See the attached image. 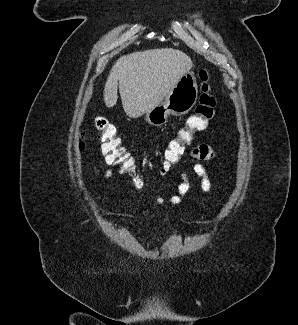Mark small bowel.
I'll list each match as a JSON object with an SVG mask.
<instances>
[{"mask_svg": "<svg viewBox=\"0 0 298 325\" xmlns=\"http://www.w3.org/2000/svg\"><path fill=\"white\" fill-rule=\"evenodd\" d=\"M213 155L214 154H213L212 149L207 145H199V146L195 147L194 149H192V151L190 152L191 158H193L197 161H208L213 158ZM106 162L108 163V161H106ZM193 170H194L195 174L198 177H200V179H201V189L204 192H208L211 189V179H210L209 175L207 174V171H206L205 167L203 166V164L200 162H197L194 165ZM111 174H112L111 170H108L106 172L105 176L107 178H109L111 176ZM180 178H181V182L178 185V193L171 196L168 199V203L171 205L180 204L182 201V197L189 191L190 185H189L187 173L182 172L180 175ZM156 202L158 204H163L166 202V200L162 197H158L156 199Z\"/></svg>", "mask_w": 298, "mask_h": 325, "instance_id": "small-bowel-1", "label": "small bowel"}]
</instances>
